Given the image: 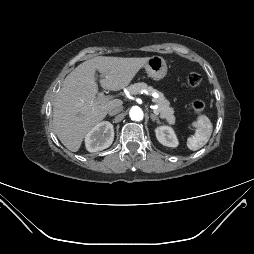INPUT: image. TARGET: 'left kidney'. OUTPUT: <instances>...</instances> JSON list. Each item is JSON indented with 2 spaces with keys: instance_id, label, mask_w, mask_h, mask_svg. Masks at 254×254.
<instances>
[{
  "instance_id": "1",
  "label": "left kidney",
  "mask_w": 254,
  "mask_h": 254,
  "mask_svg": "<svg viewBox=\"0 0 254 254\" xmlns=\"http://www.w3.org/2000/svg\"><path fill=\"white\" fill-rule=\"evenodd\" d=\"M157 140L164 146L177 147L179 142L174 130L169 126H160L155 129Z\"/></svg>"
}]
</instances>
